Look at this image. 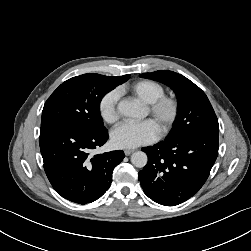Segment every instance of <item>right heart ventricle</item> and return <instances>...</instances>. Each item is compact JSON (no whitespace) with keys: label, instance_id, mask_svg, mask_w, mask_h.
<instances>
[{"label":"right heart ventricle","instance_id":"e07e8e85","mask_svg":"<svg viewBox=\"0 0 251 251\" xmlns=\"http://www.w3.org/2000/svg\"><path fill=\"white\" fill-rule=\"evenodd\" d=\"M121 90L130 92L145 104L154 101L165 93L164 87L153 80H139L129 86L122 87Z\"/></svg>","mask_w":251,"mask_h":251}]
</instances>
